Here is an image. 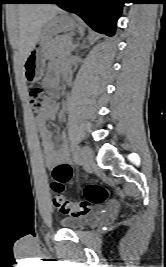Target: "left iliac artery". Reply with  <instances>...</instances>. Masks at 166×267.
I'll return each instance as SVG.
<instances>
[{
  "label": "left iliac artery",
  "mask_w": 166,
  "mask_h": 267,
  "mask_svg": "<svg viewBox=\"0 0 166 267\" xmlns=\"http://www.w3.org/2000/svg\"><path fill=\"white\" fill-rule=\"evenodd\" d=\"M75 149H74V158H75V161L76 162H79L80 161V159H81V156H80V153H79V148H76V147H74Z\"/></svg>",
  "instance_id": "obj_1"
}]
</instances>
